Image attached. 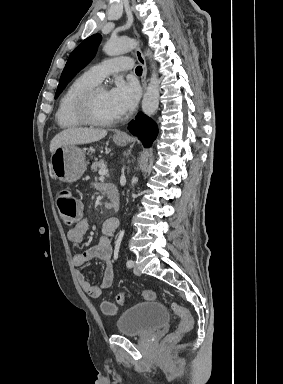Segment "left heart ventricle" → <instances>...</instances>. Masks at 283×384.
<instances>
[{
  "label": "left heart ventricle",
  "instance_id": "b2bd125f",
  "mask_svg": "<svg viewBox=\"0 0 283 384\" xmlns=\"http://www.w3.org/2000/svg\"><path fill=\"white\" fill-rule=\"evenodd\" d=\"M92 114L102 121H109L119 117L111 105L107 89L101 90L95 95L92 102Z\"/></svg>",
  "mask_w": 283,
  "mask_h": 384
}]
</instances>
